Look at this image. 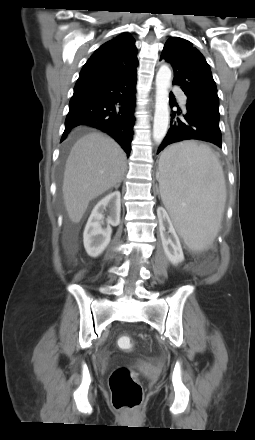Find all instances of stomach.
I'll return each instance as SVG.
<instances>
[{"instance_id":"0dacf381","label":"stomach","mask_w":255,"mask_h":440,"mask_svg":"<svg viewBox=\"0 0 255 440\" xmlns=\"http://www.w3.org/2000/svg\"><path fill=\"white\" fill-rule=\"evenodd\" d=\"M163 159H164V157H163V154H162V156H161V158H160V162H159V165H160L161 167H163V163H162Z\"/></svg>"}]
</instances>
